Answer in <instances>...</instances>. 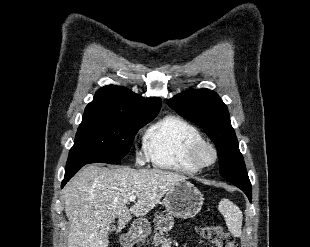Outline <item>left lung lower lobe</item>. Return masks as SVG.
I'll return each instance as SVG.
<instances>
[{
  "instance_id": "1",
  "label": "left lung lower lobe",
  "mask_w": 310,
  "mask_h": 247,
  "mask_svg": "<svg viewBox=\"0 0 310 247\" xmlns=\"http://www.w3.org/2000/svg\"><path fill=\"white\" fill-rule=\"evenodd\" d=\"M229 182L240 188L248 197L249 201L252 200V187L248 175L238 179H227Z\"/></svg>"
}]
</instances>
